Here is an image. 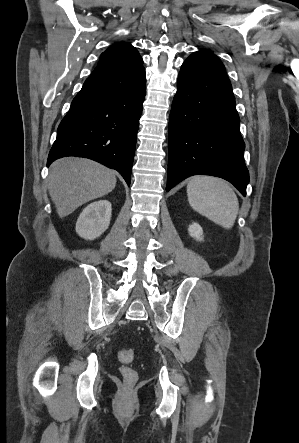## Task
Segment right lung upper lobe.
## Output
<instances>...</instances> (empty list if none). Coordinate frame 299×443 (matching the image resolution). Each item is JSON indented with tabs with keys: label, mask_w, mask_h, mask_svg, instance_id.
<instances>
[{
	"label": "right lung upper lobe",
	"mask_w": 299,
	"mask_h": 443,
	"mask_svg": "<svg viewBox=\"0 0 299 443\" xmlns=\"http://www.w3.org/2000/svg\"><path fill=\"white\" fill-rule=\"evenodd\" d=\"M144 69L138 51L129 43H117L101 54L91 75L105 76L135 73Z\"/></svg>",
	"instance_id": "cb5924a9"
}]
</instances>
